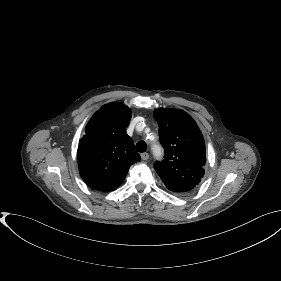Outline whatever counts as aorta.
Here are the masks:
<instances>
[{
    "instance_id": "1",
    "label": "aorta",
    "mask_w": 281,
    "mask_h": 281,
    "mask_svg": "<svg viewBox=\"0 0 281 281\" xmlns=\"http://www.w3.org/2000/svg\"><path fill=\"white\" fill-rule=\"evenodd\" d=\"M158 149H159V147H158V146H156V147H155V150H156V151H158Z\"/></svg>"
}]
</instances>
